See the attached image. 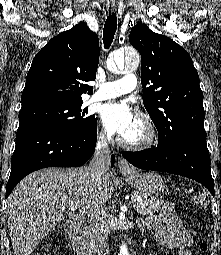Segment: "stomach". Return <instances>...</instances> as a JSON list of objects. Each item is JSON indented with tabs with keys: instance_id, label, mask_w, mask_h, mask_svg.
I'll use <instances>...</instances> for the list:
<instances>
[{
	"instance_id": "obj_1",
	"label": "stomach",
	"mask_w": 221,
	"mask_h": 255,
	"mask_svg": "<svg viewBox=\"0 0 221 255\" xmlns=\"http://www.w3.org/2000/svg\"><path fill=\"white\" fill-rule=\"evenodd\" d=\"M126 182L144 196L156 197L163 193L165 185L161 176L149 172L124 175Z\"/></svg>"
}]
</instances>
